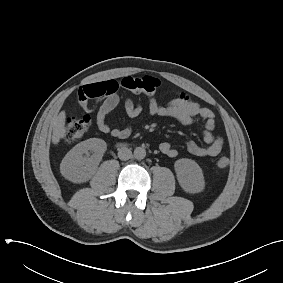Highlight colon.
Segmentation results:
<instances>
[{"label":"colon","instance_id":"obj_1","mask_svg":"<svg viewBox=\"0 0 283 283\" xmlns=\"http://www.w3.org/2000/svg\"><path fill=\"white\" fill-rule=\"evenodd\" d=\"M159 86V80L151 76L125 77L118 82V90L122 89L131 93L153 94ZM90 124L91 119L88 115L69 118L65 125V141L73 143L80 139L87 132ZM215 165L219 169H225L229 166V159L221 157Z\"/></svg>","mask_w":283,"mask_h":283}]
</instances>
